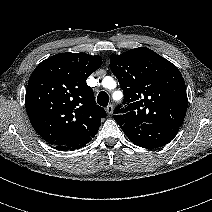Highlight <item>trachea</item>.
<instances>
[{"instance_id":"trachea-1","label":"trachea","mask_w":212,"mask_h":212,"mask_svg":"<svg viewBox=\"0 0 212 212\" xmlns=\"http://www.w3.org/2000/svg\"><path fill=\"white\" fill-rule=\"evenodd\" d=\"M97 102L99 105L106 107L109 102V96L106 92L101 91L97 96Z\"/></svg>"}]
</instances>
